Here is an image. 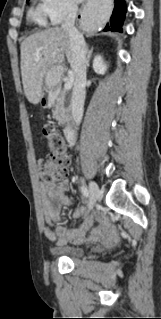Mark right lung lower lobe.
<instances>
[{
    "label": "right lung lower lobe",
    "instance_id": "98d812e1",
    "mask_svg": "<svg viewBox=\"0 0 161 319\" xmlns=\"http://www.w3.org/2000/svg\"><path fill=\"white\" fill-rule=\"evenodd\" d=\"M114 1H115V5L110 18V22L107 23L104 30L121 32L122 31L121 26L123 24V21L125 19V14H126V4L124 0H114Z\"/></svg>",
    "mask_w": 161,
    "mask_h": 319
}]
</instances>
